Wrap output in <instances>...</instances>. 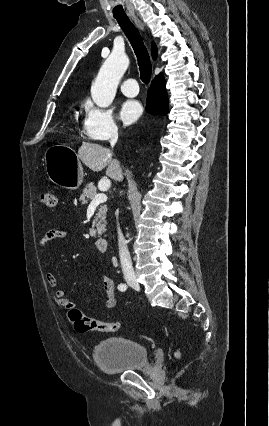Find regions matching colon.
I'll use <instances>...</instances> for the list:
<instances>
[{
    "label": "colon",
    "instance_id": "1",
    "mask_svg": "<svg viewBox=\"0 0 269 426\" xmlns=\"http://www.w3.org/2000/svg\"><path fill=\"white\" fill-rule=\"evenodd\" d=\"M42 203L54 208L58 204L55 190L49 189L41 196ZM69 319L78 332H117L121 329V324L117 322H105L85 316L79 309L72 307L69 311Z\"/></svg>",
    "mask_w": 269,
    "mask_h": 426
}]
</instances>
